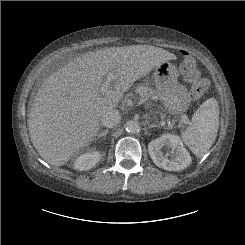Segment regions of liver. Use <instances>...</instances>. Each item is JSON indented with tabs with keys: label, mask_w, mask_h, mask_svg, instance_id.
Wrapping results in <instances>:
<instances>
[{
	"label": "liver",
	"mask_w": 245,
	"mask_h": 245,
	"mask_svg": "<svg viewBox=\"0 0 245 245\" xmlns=\"http://www.w3.org/2000/svg\"><path fill=\"white\" fill-rule=\"evenodd\" d=\"M176 56L152 45L110 47L85 53L51 74L28 115L33 146L53 166L65 165L100 131L103 114L115 109L134 82ZM115 78L107 92V75Z\"/></svg>",
	"instance_id": "liver-1"
}]
</instances>
